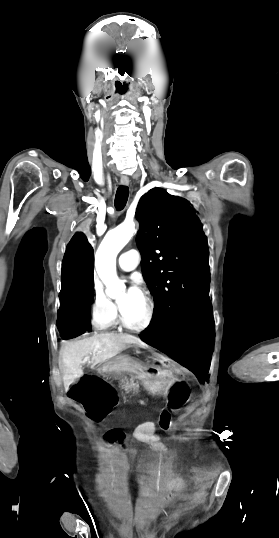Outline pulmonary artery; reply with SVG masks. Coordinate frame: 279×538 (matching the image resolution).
Wrapping results in <instances>:
<instances>
[{"mask_svg":"<svg viewBox=\"0 0 279 538\" xmlns=\"http://www.w3.org/2000/svg\"><path fill=\"white\" fill-rule=\"evenodd\" d=\"M136 260L131 258L130 252H124L118 257V266L122 271L129 272L136 268Z\"/></svg>","mask_w":279,"mask_h":538,"instance_id":"1","label":"pulmonary artery"}]
</instances>
